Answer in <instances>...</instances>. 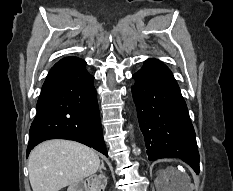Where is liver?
<instances>
[{
  "instance_id": "obj_1",
  "label": "liver",
  "mask_w": 233,
  "mask_h": 191,
  "mask_svg": "<svg viewBox=\"0 0 233 191\" xmlns=\"http://www.w3.org/2000/svg\"><path fill=\"white\" fill-rule=\"evenodd\" d=\"M99 167L100 159L93 149L62 139L39 144L28 161L33 191H59L96 173Z\"/></svg>"
}]
</instances>
